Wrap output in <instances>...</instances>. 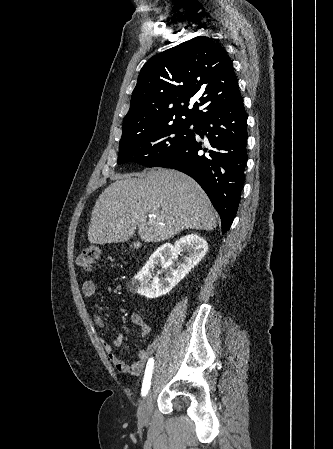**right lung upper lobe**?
Masks as SVG:
<instances>
[{"instance_id":"1","label":"right lung upper lobe","mask_w":333,"mask_h":449,"mask_svg":"<svg viewBox=\"0 0 333 449\" xmlns=\"http://www.w3.org/2000/svg\"><path fill=\"white\" fill-rule=\"evenodd\" d=\"M238 95V80L225 49L209 37H195L153 56L143 66L120 141L174 120L198 123Z\"/></svg>"}]
</instances>
